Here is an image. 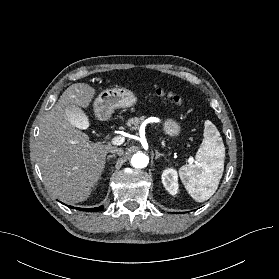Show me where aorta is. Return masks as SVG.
<instances>
[{"label":"aorta","instance_id":"obj_1","mask_svg":"<svg viewBox=\"0 0 279 279\" xmlns=\"http://www.w3.org/2000/svg\"><path fill=\"white\" fill-rule=\"evenodd\" d=\"M149 158L143 153H136L131 158V165L135 168H145L148 165Z\"/></svg>","mask_w":279,"mask_h":279}]
</instances>
